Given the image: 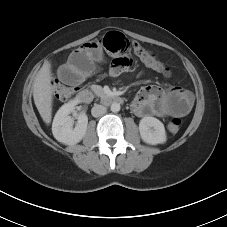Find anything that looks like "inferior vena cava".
Returning a JSON list of instances; mask_svg holds the SVG:
<instances>
[{
    "label": "inferior vena cava",
    "instance_id": "inferior-vena-cava-1",
    "mask_svg": "<svg viewBox=\"0 0 227 227\" xmlns=\"http://www.w3.org/2000/svg\"><path fill=\"white\" fill-rule=\"evenodd\" d=\"M105 113H106V107L102 105H95L91 110V114L93 117H99Z\"/></svg>",
    "mask_w": 227,
    "mask_h": 227
}]
</instances>
